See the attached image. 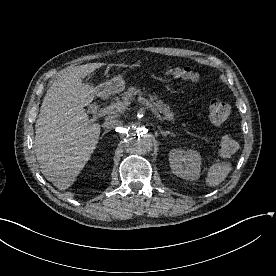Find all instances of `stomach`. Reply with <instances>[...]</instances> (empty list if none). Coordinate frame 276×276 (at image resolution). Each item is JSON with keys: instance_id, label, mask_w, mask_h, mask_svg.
Listing matches in <instances>:
<instances>
[{"instance_id": "0dacf381", "label": "stomach", "mask_w": 276, "mask_h": 276, "mask_svg": "<svg viewBox=\"0 0 276 276\" xmlns=\"http://www.w3.org/2000/svg\"><path fill=\"white\" fill-rule=\"evenodd\" d=\"M124 76L125 73L118 74L107 82L98 85L95 88L97 95L105 97L123 91L125 88Z\"/></svg>"}]
</instances>
